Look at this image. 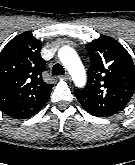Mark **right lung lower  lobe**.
Instances as JSON below:
<instances>
[{"mask_svg": "<svg viewBox=\"0 0 135 165\" xmlns=\"http://www.w3.org/2000/svg\"><path fill=\"white\" fill-rule=\"evenodd\" d=\"M28 117H30V116H28ZM28 117H21V118H18V119H24V118H28Z\"/></svg>", "mask_w": 135, "mask_h": 165, "instance_id": "98d812e1", "label": "right lung lower lobe"}]
</instances>
